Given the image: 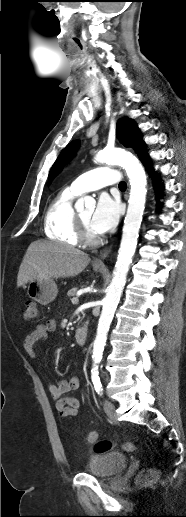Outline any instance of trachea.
Returning <instances> with one entry per match:
<instances>
[{
    "label": "trachea",
    "instance_id": "trachea-1",
    "mask_svg": "<svg viewBox=\"0 0 186 517\" xmlns=\"http://www.w3.org/2000/svg\"><path fill=\"white\" fill-rule=\"evenodd\" d=\"M126 187H127V184L125 182H120L119 183V188L120 189H126Z\"/></svg>",
    "mask_w": 186,
    "mask_h": 517
}]
</instances>
